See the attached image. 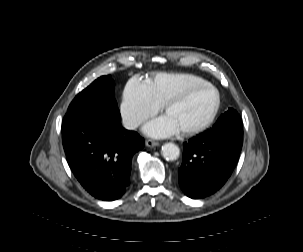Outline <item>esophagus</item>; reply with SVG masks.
<instances>
[{"mask_svg": "<svg viewBox=\"0 0 303 252\" xmlns=\"http://www.w3.org/2000/svg\"><path fill=\"white\" fill-rule=\"evenodd\" d=\"M145 144H146L147 147L152 148V147L158 146L159 142L151 140V139H148V140H146Z\"/></svg>", "mask_w": 303, "mask_h": 252, "instance_id": "34e87169", "label": "esophagus"}]
</instances>
